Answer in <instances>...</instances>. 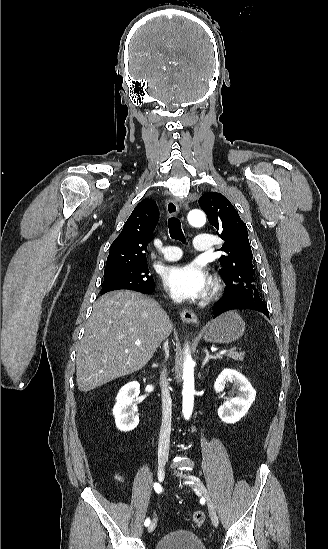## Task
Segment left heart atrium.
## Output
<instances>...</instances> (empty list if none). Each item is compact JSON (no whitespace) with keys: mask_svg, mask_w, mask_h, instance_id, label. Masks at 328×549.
<instances>
[{"mask_svg":"<svg viewBox=\"0 0 328 549\" xmlns=\"http://www.w3.org/2000/svg\"><path fill=\"white\" fill-rule=\"evenodd\" d=\"M164 285L176 300H194L209 293L212 280L203 265L192 262L170 268L164 276Z\"/></svg>","mask_w":328,"mask_h":549,"instance_id":"obj_1","label":"left heart atrium"}]
</instances>
